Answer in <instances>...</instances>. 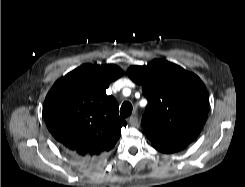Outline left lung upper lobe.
I'll use <instances>...</instances> for the list:
<instances>
[{
  "mask_svg": "<svg viewBox=\"0 0 245 187\" xmlns=\"http://www.w3.org/2000/svg\"><path fill=\"white\" fill-rule=\"evenodd\" d=\"M129 77L141 84L149 100L141 125L152 144H190L208 115L204 83L171 62L155 59L147 66H131Z\"/></svg>",
  "mask_w": 245,
  "mask_h": 187,
  "instance_id": "1",
  "label": "left lung upper lobe"
}]
</instances>
